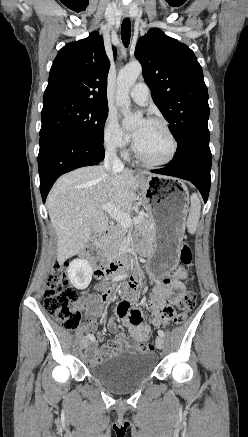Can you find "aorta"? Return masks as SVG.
<instances>
[{
	"label": "aorta",
	"mask_w": 248,
	"mask_h": 437,
	"mask_svg": "<svg viewBox=\"0 0 248 437\" xmlns=\"http://www.w3.org/2000/svg\"><path fill=\"white\" fill-rule=\"evenodd\" d=\"M141 72L142 67L139 63H131L121 69L117 77L116 103L123 111V125L125 127L135 126L141 118V114L131 113L129 97V91L135 84Z\"/></svg>",
	"instance_id": "obj_1"
}]
</instances>
